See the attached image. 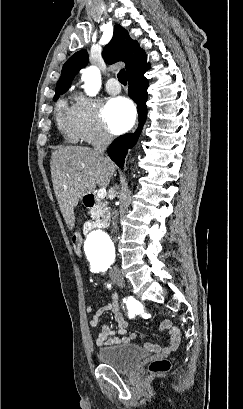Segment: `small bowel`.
<instances>
[{
	"mask_svg": "<svg viewBox=\"0 0 243 409\" xmlns=\"http://www.w3.org/2000/svg\"><path fill=\"white\" fill-rule=\"evenodd\" d=\"M87 312H91L92 307L88 305L86 307ZM127 310L130 316L134 317L139 313V308L135 302L130 301L127 303ZM105 312H110L117 324V329L113 330L109 325H102L101 330L96 338V344L98 346H112L118 344H128L131 341L137 339V335L132 333L128 336H125L127 332V322L121 312L119 299L115 294H111V300L106 305L99 308L90 319V326L95 328L99 325L100 319ZM159 331L167 332V345L162 347L158 344L147 343L146 347L155 353H160L168 355L175 351L180 343V331L179 329L172 324L170 320H164L159 325ZM119 334L122 338H118L115 335Z\"/></svg>",
	"mask_w": 243,
	"mask_h": 409,
	"instance_id": "obj_1",
	"label": "small bowel"
}]
</instances>
